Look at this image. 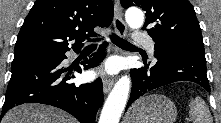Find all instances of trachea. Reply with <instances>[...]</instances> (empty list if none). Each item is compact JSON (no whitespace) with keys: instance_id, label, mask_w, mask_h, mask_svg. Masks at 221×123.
I'll list each match as a JSON object with an SVG mask.
<instances>
[{"instance_id":"3493384b","label":"trachea","mask_w":221,"mask_h":123,"mask_svg":"<svg viewBox=\"0 0 221 123\" xmlns=\"http://www.w3.org/2000/svg\"><path fill=\"white\" fill-rule=\"evenodd\" d=\"M110 38H111V41L119 47H131V46H133L131 43H129L128 41H126L122 38H120L116 34H112ZM96 46H97V44L94 43V44L88 45L87 47L88 48H95Z\"/></svg>"}]
</instances>
